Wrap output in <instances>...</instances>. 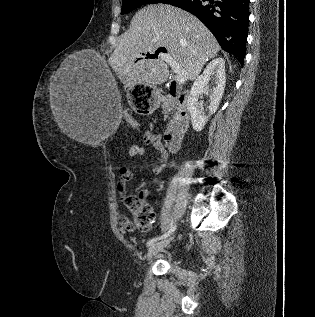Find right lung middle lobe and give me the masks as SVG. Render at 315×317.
<instances>
[{
	"label": "right lung middle lobe",
	"instance_id": "1",
	"mask_svg": "<svg viewBox=\"0 0 315 317\" xmlns=\"http://www.w3.org/2000/svg\"><path fill=\"white\" fill-rule=\"evenodd\" d=\"M177 1L178 0H123L121 14L129 13L132 10L146 4L165 3L172 5Z\"/></svg>",
	"mask_w": 315,
	"mask_h": 317
}]
</instances>
